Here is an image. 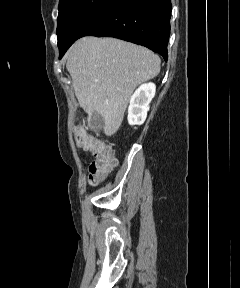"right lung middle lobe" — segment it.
Segmentation results:
<instances>
[{
	"label": "right lung middle lobe",
	"instance_id": "right-lung-middle-lobe-1",
	"mask_svg": "<svg viewBox=\"0 0 240 288\" xmlns=\"http://www.w3.org/2000/svg\"><path fill=\"white\" fill-rule=\"evenodd\" d=\"M114 0H60L57 19L59 52L75 42Z\"/></svg>",
	"mask_w": 240,
	"mask_h": 288
}]
</instances>
